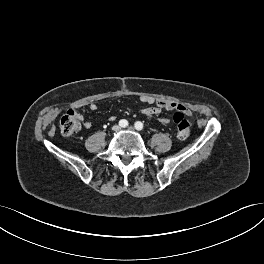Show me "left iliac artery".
<instances>
[{
    "instance_id": "44dca946",
    "label": "left iliac artery",
    "mask_w": 264,
    "mask_h": 264,
    "mask_svg": "<svg viewBox=\"0 0 264 264\" xmlns=\"http://www.w3.org/2000/svg\"><path fill=\"white\" fill-rule=\"evenodd\" d=\"M135 128H136L137 130H142V129H143V123L140 122V121H137V122L135 123Z\"/></svg>"
}]
</instances>
